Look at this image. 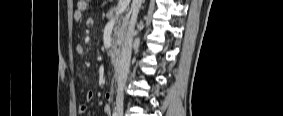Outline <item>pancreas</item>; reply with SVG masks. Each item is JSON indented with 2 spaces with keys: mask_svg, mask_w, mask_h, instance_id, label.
Here are the masks:
<instances>
[{
  "mask_svg": "<svg viewBox=\"0 0 283 116\" xmlns=\"http://www.w3.org/2000/svg\"><path fill=\"white\" fill-rule=\"evenodd\" d=\"M117 11H118V7H113L109 10V12L106 15L108 20L115 19L111 51H114L117 48V46L121 45L122 40L127 30L128 17L127 16H121V17L116 16Z\"/></svg>",
  "mask_w": 283,
  "mask_h": 116,
  "instance_id": "pancreas-1",
  "label": "pancreas"
}]
</instances>
